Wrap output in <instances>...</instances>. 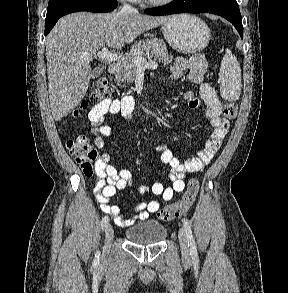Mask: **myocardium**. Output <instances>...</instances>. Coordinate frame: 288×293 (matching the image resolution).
<instances>
[{"mask_svg": "<svg viewBox=\"0 0 288 293\" xmlns=\"http://www.w3.org/2000/svg\"><path fill=\"white\" fill-rule=\"evenodd\" d=\"M149 4L154 6H164L172 3L174 0H146Z\"/></svg>", "mask_w": 288, "mask_h": 293, "instance_id": "myocardium-1", "label": "myocardium"}]
</instances>
